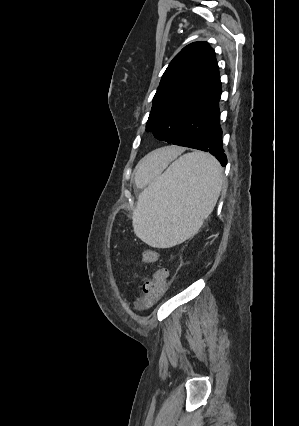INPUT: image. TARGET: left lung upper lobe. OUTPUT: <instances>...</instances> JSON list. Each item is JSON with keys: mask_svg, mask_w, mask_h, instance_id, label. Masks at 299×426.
<instances>
[{"mask_svg": "<svg viewBox=\"0 0 299 426\" xmlns=\"http://www.w3.org/2000/svg\"><path fill=\"white\" fill-rule=\"evenodd\" d=\"M214 50L207 42L184 47L165 70L146 131L171 143L190 117L221 89Z\"/></svg>", "mask_w": 299, "mask_h": 426, "instance_id": "5c2ea615", "label": "left lung upper lobe"}]
</instances>
